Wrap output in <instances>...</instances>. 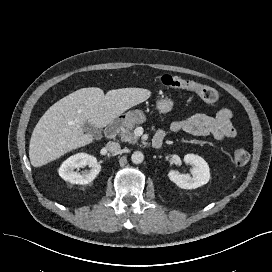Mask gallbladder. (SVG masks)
<instances>
[{"instance_id": "gallbladder-1", "label": "gallbladder", "mask_w": 272, "mask_h": 272, "mask_svg": "<svg viewBox=\"0 0 272 272\" xmlns=\"http://www.w3.org/2000/svg\"><path fill=\"white\" fill-rule=\"evenodd\" d=\"M83 129L85 132L92 134L95 137H99L101 135V132L93 126L90 122H86L83 125Z\"/></svg>"}]
</instances>
